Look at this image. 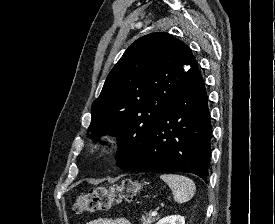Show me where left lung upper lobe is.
I'll list each match as a JSON object with an SVG mask.
<instances>
[{
  "mask_svg": "<svg viewBox=\"0 0 275 224\" xmlns=\"http://www.w3.org/2000/svg\"><path fill=\"white\" fill-rule=\"evenodd\" d=\"M191 50L168 33H151L127 48L91 107L88 130L111 134L120 146L117 165L134 160L146 138L197 71Z\"/></svg>",
  "mask_w": 275,
  "mask_h": 224,
  "instance_id": "5c2ea615",
  "label": "left lung upper lobe"
}]
</instances>
